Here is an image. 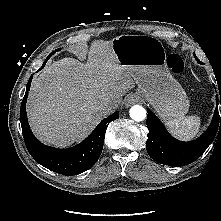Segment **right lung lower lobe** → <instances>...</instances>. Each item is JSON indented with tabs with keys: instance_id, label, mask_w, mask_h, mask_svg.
Instances as JSON below:
<instances>
[{
	"instance_id": "right-lung-lower-lobe-1",
	"label": "right lung lower lobe",
	"mask_w": 221,
	"mask_h": 221,
	"mask_svg": "<svg viewBox=\"0 0 221 221\" xmlns=\"http://www.w3.org/2000/svg\"><path fill=\"white\" fill-rule=\"evenodd\" d=\"M47 60L39 70L44 67ZM32 77L33 75L28 80L20 109L23 137L29 153L39 164L62 175H78L88 170L96 163L102 152L105 132L109 122L118 119L119 112H115L103 119L84 141L74 147L56 149L46 146L37 140L28 124L25 108Z\"/></svg>"
}]
</instances>
